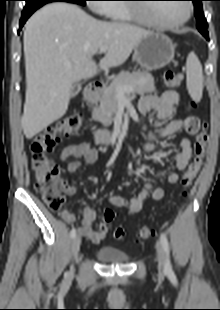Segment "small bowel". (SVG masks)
<instances>
[{
    "label": "small bowel",
    "mask_w": 220,
    "mask_h": 310,
    "mask_svg": "<svg viewBox=\"0 0 220 310\" xmlns=\"http://www.w3.org/2000/svg\"><path fill=\"white\" fill-rule=\"evenodd\" d=\"M181 104V97L179 92L175 90H166L161 96L146 95L140 98L138 110L142 117L154 111L157 119L160 121L168 120L176 106ZM200 120L196 116H187L181 119L167 122L156 133L148 134V142L144 148L150 151L153 146V141L157 138H163L176 134L184 130L188 135H195L199 131ZM192 157V140L189 136H185L180 140V150L175 155V165L178 171H183L187 168ZM56 158L60 161H66L69 158L77 160L71 161L67 165V171L70 174L77 172L81 167L82 159L87 164H93L98 159V150L89 142L75 143L61 148L56 154ZM90 181L93 184H99L100 179L97 176H91ZM179 181V173L172 171L168 175V182L170 184H177ZM77 191L76 186H68V195H74ZM151 194L152 198L160 201L165 196V191L161 187L153 188L150 183H146L144 188L135 196L125 198L118 194H112L109 201L112 205L125 209L129 215H136L142 208L144 201ZM83 219L79 227V234L88 238L92 243H100L108 232V227L104 223H99L94 229L96 221V213L90 207L86 206L82 211ZM63 220L72 223L76 220V215L66 209L60 211Z\"/></svg>",
    "instance_id": "obj_1"
}]
</instances>
